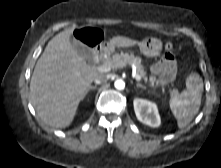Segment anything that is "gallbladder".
Returning <instances> with one entry per match:
<instances>
[{
	"label": "gallbladder",
	"instance_id": "1",
	"mask_svg": "<svg viewBox=\"0 0 221 168\" xmlns=\"http://www.w3.org/2000/svg\"><path fill=\"white\" fill-rule=\"evenodd\" d=\"M71 44H72L73 48L75 49V51L82 58H84L88 62H90L92 60L93 53H92V50L87 45L83 44L82 42H80L79 40H76V39H73Z\"/></svg>",
	"mask_w": 221,
	"mask_h": 168
}]
</instances>
